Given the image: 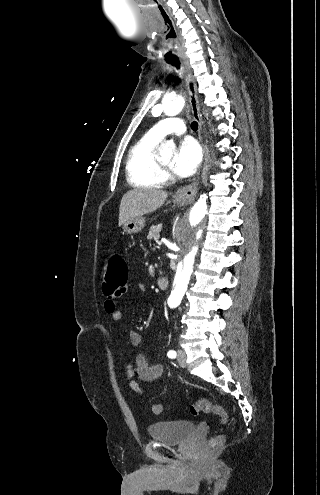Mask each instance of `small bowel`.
I'll return each instance as SVG.
<instances>
[{
    "instance_id": "1",
    "label": "small bowel",
    "mask_w": 320,
    "mask_h": 495,
    "mask_svg": "<svg viewBox=\"0 0 320 495\" xmlns=\"http://www.w3.org/2000/svg\"><path fill=\"white\" fill-rule=\"evenodd\" d=\"M132 286V284L125 285L121 293H116V291L105 293L106 300L104 302V310L111 316L114 322H118L122 318V311L117 308V299L122 294L126 293ZM136 288L141 292L145 290L144 284H137ZM128 336L132 346L137 348L143 347V339L138 331L130 330ZM163 374V364H150L143 351H139L136 354L135 365H129L126 370V375L128 378L132 379L136 376L146 382H155L159 380L163 376ZM130 387L134 391L142 393V389L139 387L138 383L135 380H131Z\"/></svg>"
}]
</instances>
